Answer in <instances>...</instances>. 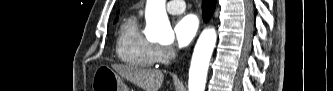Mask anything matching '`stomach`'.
Wrapping results in <instances>:
<instances>
[{
	"label": "stomach",
	"instance_id": "stomach-1",
	"mask_svg": "<svg viewBox=\"0 0 333 91\" xmlns=\"http://www.w3.org/2000/svg\"><path fill=\"white\" fill-rule=\"evenodd\" d=\"M93 91H128L121 77L110 67H98L92 79Z\"/></svg>",
	"mask_w": 333,
	"mask_h": 91
}]
</instances>
